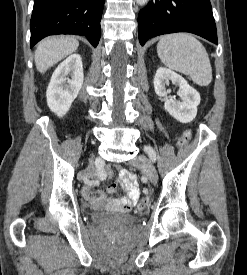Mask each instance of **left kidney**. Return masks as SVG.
<instances>
[{
	"label": "left kidney",
	"instance_id": "obj_1",
	"mask_svg": "<svg viewBox=\"0 0 247 275\" xmlns=\"http://www.w3.org/2000/svg\"><path fill=\"white\" fill-rule=\"evenodd\" d=\"M169 81L179 86L181 102L168 98L170 90L166 89V85ZM154 89L158 96L166 98L164 108L176 120L189 123L196 117L200 94L181 75L164 67L158 68L154 77Z\"/></svg>",
	"mask_w": 247,
	"mask_h": 275
}]
</instances>
